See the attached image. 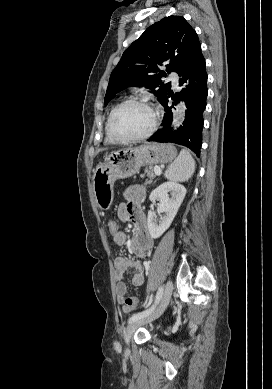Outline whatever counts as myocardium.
I'll return each mask as SVG.
<instances>
[{"mask_svg":"<svg viewBox=\"0 0 272 389\" xmlns=\"http://www.w3.org/2000/svg\"><path fill=\"white\" fill-rule=\"evenodd\" d=\"M130 104H139V105H142V106L148 108L152 113V123H151V126L149 127V129L141 135H138L135 137H121L115 132L114 127H113V122H114V119H115V116L117 115V113L122 108H124L125 106L130 105ZM158 122H159V113H158L157 109L150 102H148L147 100L142 99V98L131 97V98H128V99L122 101L121 103H119L112 110V112L109 116V119H108V130H109L111 137L116 142L132 143V142H138V141H141V140H144V139L150 137L154 133V131L156 130V128L158 126Z\"/></svg>","mask_w":272,"mask_h":389,"instance_id":"myocardium-1","label":"myocardium"}]
</instances>
